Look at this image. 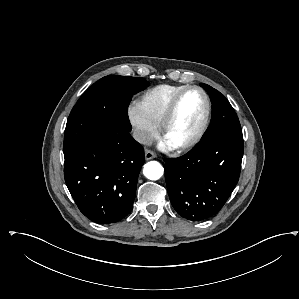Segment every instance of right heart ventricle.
<instances>
[{
	"mask_svg": "<svg viewBox=\"0 0 299 299\" xmlns=\"http://www.w3.org/2000/svg\"><path fill=\"white\" fill-rule=\"evenodd\" d=\"M186 85L162 84L142 94L138 101L141 111L157 126L171 103L173 97Z\"/></svg>",
	"mask_w": 299,
	"mask_h": 299,
	"instance_id": "right-heart-ventricle-1",
	"label": "right heart ventricle"
}]
</instances>
